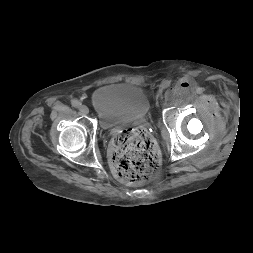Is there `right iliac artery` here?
I'll list each match as a JSON object with an SVG mask.
<instances>
[{"instance_id":"right-iliac-artery-1","label":"right iliac artery","mask_w":253,"mask_h":253,"mask_svg":"<svg viewBox=\"0 0 253 253\" xmlns=\"http://www.w3.org/2000/svg\"><path fill=\"white\" fill-rule=\"evenodd\" d=\"M71 104L73 107H76V108L80 107L81 105V103L78 100H72Z\"/></svg>"}]
</instances>
